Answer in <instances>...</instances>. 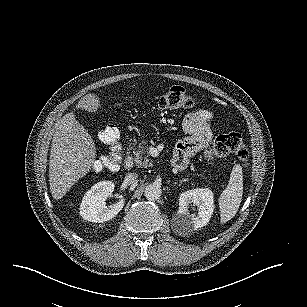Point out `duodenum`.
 I'll use <instances>...</instances> for the list:
<instances>
[{
  "mask_svg": "<svg viewBox=\"0 0 307 307\" xmlns=\"http://www.w3.org/2000/svg\"><path fill=\"white\" fill-rule=\"evenodd\" d=\"M134 165L133 158L130 153H128L123 162V166L125 170H131Z\"/></svg>",
  "mask_w": 307,
  "mask_h": 307,
  "instance_id": "duodenum-1",
  "label": "duodenum"
}]
</instances>
